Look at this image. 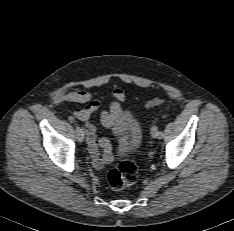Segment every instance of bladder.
I'll return each mask as SVG.
<instances>
[{
  "mask_svg": "<svg viewBox=\"0 0 234 231\" xmlns=\"http://www.w3.org/2000/svg\"><path fill=\"white\" fill-rule=\"evenodd\" d=\"M120 127L127 132L128 149L131 152L138 150L141 145L142 133L136 118L131 113L123 112L121 114Z\"/></svg>",
  "mask_w": 234,
  "mask_h": 231,
  "instance_id": "31cf9c89",
  "label": "bladder"
}]
</instances>
